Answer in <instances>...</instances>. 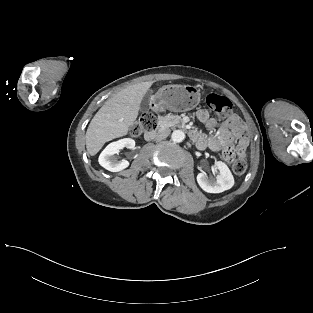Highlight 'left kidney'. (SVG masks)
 <instances>
[{"label":"left kidney","mask_w":313,"mask_h":313,"mask_svg":"<svg viewBox=\"0 0 313 313\" xmlns=\"http://www.w3.org/2000/svg\"><path fill=\"white\" fill-rule=\"evenodd\" d=\"M216 166L220 172L216 180L208 179L204 173L197 175V182L205 192L221 193L234 185V177L228 166L222 161H217Z\"/></svg>","instance_id":"1"}]
</instances>
